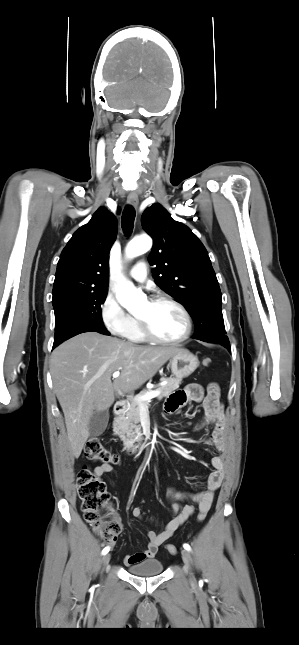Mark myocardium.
Listing matches in <instances>:
<instances>
[{
	"mask_svg": "<svg viewBox=\"0 0 299 645\" xmlns=\"http://www.w3.org/2000/svg\"><path fill=\"white\" fill-rule=\"evenodd\" d=\"M149 302L152 303V304L168 303V304L173 305L175 308H177L180 311V313L182 314L183 318H184L185 330H184L183 334L181 336L177 337V338L164 339V338L158 337L152 331V329L150 328V325H149V323H148V321L146 319H144L142 317H139V316H136V320H137V322L139 324L140 331L143 334V336L146 338V340H149L151 342L158 343V344L175 345V344H179V343L184 342L185 340H187L190 337V335L192 333V329H193V322H192V318H191V315H190L189 311L186 309V307L182 303H180L179 301H177L176 299H174L173 297L168 296V295L154 296L153 298L150 299Z\"/></svg>",
	"mask_w": 299,
	"mask_h": 645,
	"instance_id": "obj_1",
	"label": "myocardium"
}]
</instances>
